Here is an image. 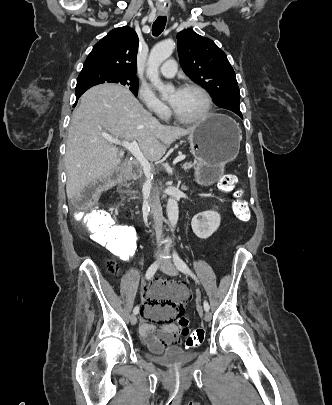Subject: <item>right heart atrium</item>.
<instances>
[{
  "instance_id": "d8ad5b80",
  "label": "right heart atrium",
  "mask_w": 332,
  "mask_h": 405,
  "mask_svg": "<svg viewBox=\"0 0 332 405\" xmlns=\"http://www.w3.org/2000/svg\"><path fill=\"white\" fill-rule=\"evenodd\" d=\"M138 97L150 113L162 118L168 115V107L157 98L155 93L149 87L145 85L140 86Z\"/></svg>"
}]
</instances>
